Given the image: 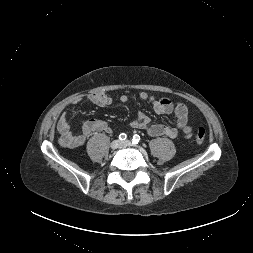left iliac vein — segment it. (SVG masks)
I'll return each mask as SVG.
<instances>
[{"mask_svg":"<svg viewBox=\"0 0 253 253\" xmlns=\"http://www.w3.org/2000/svg\"><path fill=\"white\" fill-rule=\"evenodd\" d=\"M121 146L130 147V146H132V143L129 140H125V141L121 142Z\"/></svg>","mask_w":253,"mask_h":253,"instance_id":"obj_1","label":"left iliac vein"}]
</instances>
